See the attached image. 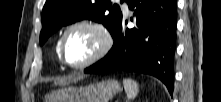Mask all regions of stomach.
<instances>
[{
  "label": "stomach",
  "mask_w": 221,
  "mask_h": 102,
  "mask_svg": "<svg viewBox=\"0 0 221 102\" xmlns=\"http://www.w3.org/2000/svg\"><path fill=\"white\" fill-rule=\"evenodd\" d=\"M121 89L117 80H106L88 86H67L53 90L45 102H108Z\"/></svg>",
  "instance_id": "stomach-1"
}]
</instances>
